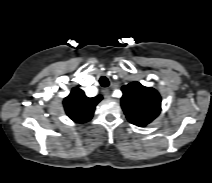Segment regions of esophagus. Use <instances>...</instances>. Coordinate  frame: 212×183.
I'll list each match as a JSON object with an SVG mask.
<instances>
[{
  "label": "esophagus",
  "mask_w": 212,
  "mask_h": 183,
  "mask_svg": "<svg viewBox=\"0 0 212 183\" xmlns=\"http://www.w3.org/2000/svg\"><path fill=\"white\" fill-rule=\"evenodd\" d=\"M103 94H104L105 98H107V99H111L112 98V95H111V92H110L109 89H104L103 90Z\"/></svg>",
  "instance_id": "esophagus-1"
}]
</instances>
